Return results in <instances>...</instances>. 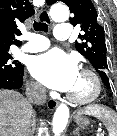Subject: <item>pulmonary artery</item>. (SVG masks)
Returning <instances> with one entry per match:
<instances>
[{"mask_svg":"<svg viewBox=\"0 0 117 136\" xmlns=\"http://www.w3.org/2000/svg\"><path fill=\"white\" fill-rule=\"evenodd\" d=\"M54 37L58 40H66L70 37V29L65 23H59L54 31ZM50 46V41L44 36L33 35L22 47L25 52H40Z\"/></svg>","mask_w":117,"mask_h":136,"instance_id":"pulmonary-artery-1","label":"pulmonary artery"}]
</instances>
